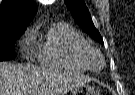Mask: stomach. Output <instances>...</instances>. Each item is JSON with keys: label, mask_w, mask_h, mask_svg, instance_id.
Listing matches in <instances>:
<instances>
[{"label": "stomach", "mask_w": 135, "mask_h": 95, "mask_svg": "<svg viewBox=\"0 0 135 95\" xmlns=\"http://www.w3.org/2000/svg\"><path fill=\"white\" fill-rule=\"evenodd\" d=\"M72 95H97V92L91 85L84 84L78 88H74Z\"/></svg>", "instance_id": "1"}]
</instances>
